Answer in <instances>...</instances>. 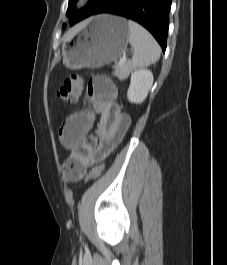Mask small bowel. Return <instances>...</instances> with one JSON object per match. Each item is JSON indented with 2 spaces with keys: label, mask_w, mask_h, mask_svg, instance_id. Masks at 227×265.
Returning a JSON list of instances; mask_svg holds the SVG:
<instances>
[{
  "label": "small bowel",
  "mask_w": 227,
  "mask_h": 265,
  "mask_svg": "<svg viewBox=\"0 0 227 265\" xmlns=\"http://www.w3.org/2000/svg\"><path fill=\"white\" fill-rule=\"evenodd\" d=\"M87 96L93 109L72 113L59 129L62 146L83 157L82 167L70 180L80 179L90 165L104 160L119 145L130 126V117L116 102L117 88L110 78L105 75L92 78ZM93 128L95 134L90 135Z\"/></svg>",
  "instance_id": "c3829d8e"
}]
</instances>
